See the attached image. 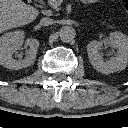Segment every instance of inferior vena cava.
Wrapping results in <instances>:
<instances>
[{
  "label": "inferior vena cava",
  "mask_w": 128,
  "mask_h": 128,
  "mask_svg": "<svg viewBox=\"0 0 128 128\" xmlns=\"http://www.w3.org/2000/svg\"><path fill=\"white\" fill-rule=\"evenodd\" d=\"M53 23H54V20L49 18V17H43L40 20V25L41 26H49V25H52Z\"/></svg>",
  "instance_id": "1"
}]
</instances>
